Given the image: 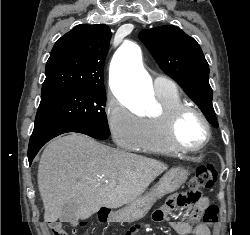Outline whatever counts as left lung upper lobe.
Returning a JSON list of instances; mask_svg holds the SVG:
<instances>
[{"mask_svg":"<svg viewBox=\"0 0 250 235\" xmlns=\"http://www.w3.org/2000/svg\"><path fill=\"white\" fill-rule=\"evenodd\" d=\"M139 39L160 68L183 88L209 122L218 126L208 81L209 66L196 40L173 25L144 29L139 33Z\"/></svg>","mask_w":250,"mask_h":235,"instance_id":"left-lung-upper-lobe-1","label":"left lung upper lobe"}]
</instances>
